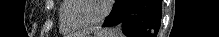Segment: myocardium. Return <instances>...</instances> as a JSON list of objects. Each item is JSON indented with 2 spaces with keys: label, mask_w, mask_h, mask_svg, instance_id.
Returning <instances> with one entry per match:
<instances>
[{
  "label": "myocardium",
  "mask_w": 219,
  "mask_h": 37,
  "mask_svg": "<svg viewBox=\"0 0 219 37\" xmlns=\"http://www.w3.org/2000/svg\"><path fill=\"white\" fill-rule=\"evenodd\" d=\"M67 1L71 4V6L65 14L66 19L72 26L77 27V28H88V27H94L96 25H99L106 19L110 11L111 1L103 0V10L99 17L91 21L77 22L71 17L73 11L76 9V6H77L76 0H67Z\"/></svg>",
  "instance_id": "myocardium-1"
}]
</instances>
